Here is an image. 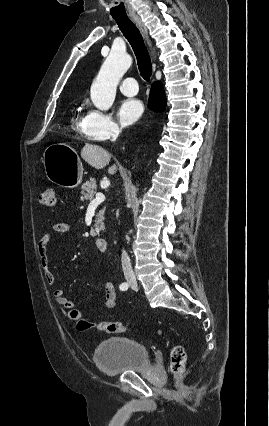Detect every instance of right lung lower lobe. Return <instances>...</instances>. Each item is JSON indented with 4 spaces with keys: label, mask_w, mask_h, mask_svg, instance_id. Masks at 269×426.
Instances as JSON below:
<instances>
[{
    "label": "right lung lower lobe",
    "mask_w": 269,
    "mask_h": 426,
    "mask_svg": "<svg viewBox=\"0 0 269 426\" xmlns=\"http://www.w3.org/2000/svg\"><path fill=\"white\" fill-rule=\"evenodd\" d=\"M148 107L156 112L164 111L166 107V97L160 82L152 84Z\"/></svg>",
    "instance_id": "98d812e1"
}]
</instances>
